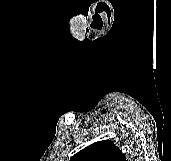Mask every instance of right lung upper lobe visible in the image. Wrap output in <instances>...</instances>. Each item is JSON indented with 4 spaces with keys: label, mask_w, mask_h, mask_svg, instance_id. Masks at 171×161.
<instances>
[{
    "label": "right lung upper lobe",
    "mask_w": 171,
    "mask_h": 161,
    "mask_svg": "<svg viewBox=\"0 0 171 161\" xmlns=\"http://www.w3.org/2000/svg\"><path fill=\"white\" fill-rule=\"evenodd\" d=\"M70 161H127L121 150L110 140L96 142L77 154Z\"/></svg>",
    "instance_id": "cb5924a9"
}]
</instances>
